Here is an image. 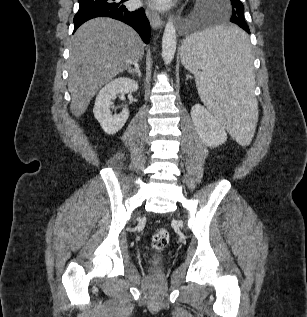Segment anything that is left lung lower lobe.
I'll use <instances>...</instances> for the list:
<instances>
[{"mask_svg":"<svg viewBox=\"0 0 307 317\" xmlns=\"http://www.w3.org/2000/svg\"><path fill=\"white\" fill-rule=\"evenodd\" d=\"M231 22L238 25L245 31L240 33L237 36H228L224 40V45H226L229 49L237 51L241 49L248 42L246 33L250 34V30L247 24H242L238 20V17L236 19L231 18Z\"/></svg>","mask_w":307,"mask_h":317,"instance_id":"left-lung-lower-lobe-1","label":"left lung lower lobe"}]
</instances>
